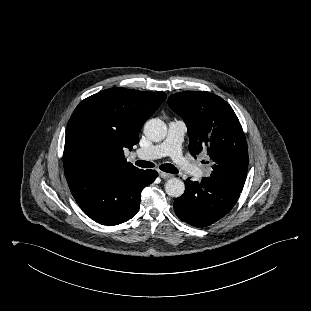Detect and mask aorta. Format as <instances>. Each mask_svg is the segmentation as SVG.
I'll return each mask as SVG.
<instances>
[{
	"instance_id": "1",
	"label": "aorta",
	"mask_w": 311,
	"mask_h": 311,
	"mask_svg": "<svg viewBox=\"0 0 311 311\" xmlns=\"http://www.w3.org/2000/svg\"><path fill=\"white\" fill-rule=\"evenodd\" d=\"M144 134L149 140L160 142L167 134L166 124L161 119H150L144 125ZM184 190V182L178 178H170L165 183V191L170 197L178 198L184 193Z\"/></svg>"
}]
</instances>
